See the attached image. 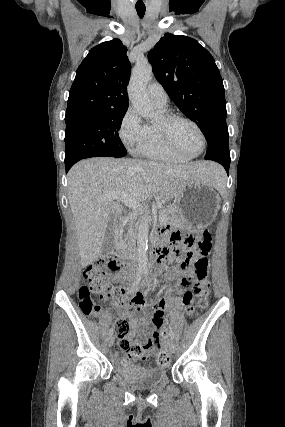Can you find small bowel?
I'll list each match as a JSON object with an SVG mask.
<instances>
[{"label": "small bowel", "mask_w": 285, "mask_h": 427, "mask_svg": "<svg viewBox=\"0 0 285 427\" xmlns=\"http://www.w3.org/2000/svg\"><path fill=\"white\" fill-rule=\"evenodd\" d=\"M170 241L172 244H176V239L173 237H170ZM191 260H204L203 255H192L189 257ZM185 262V260L183 261ZM182 262V264H183ZM181 264V266H182ZM188 273L195 274L196 271L193 268L187 269ZM176 293L180 295L181 297L178 298V305L174 308V310L177 313L185 312L186 314H192L193 313V307L192 306H186L183 303V298L185 295V291L182 288H177ZM131 294L136 298V310L134 312L128 313L127 316L129 318L130 322V334L129 336L131 338H136L140 336L141 327L146 328H153L158 329L162 326L164 321V314L168 307L167 301L165 299H160L156 303L151 304L148 306V311L151 313V320H148L145 312V302H146V296L143 293L135 292L134 290L131 291ZM146 349L139 355L133 357L131 361H146L148 360L155 351V344L154 340L147 339L146 341ZM119 363L121 365H126L129 363V360L125 357H121L119 359Z\"/></svg>", "instance_id": "c3829d8e"}]
</instances>
